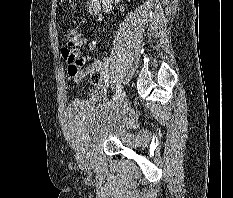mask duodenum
<instances>
[{
	"mask_svg": "<svg viewBox=\"0 0 233 198\" xmlns=\"http://www.w3.org/2000/svg\"><path fill=\"white\" fill-rule=\"evenodd\" d=\"M101 0H89L88 12L93 16H98L101 13Z\"/></svg>",
	"mask_w": 233,
	"mask_h": 198,
	"instance_id": "obj_1",
	"label": "duodenum"
}]
</instances>
